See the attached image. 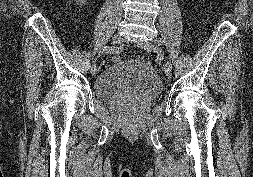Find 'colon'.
I'll return each mask as SVG.
<instances>
[{
  "instance_id": "1",
  "label": "colon",
  "mask_w": 253,
  "mask_h": 177,
  "mask_svg": "<svg viewBox=\"0 0 253 177\" xmlns=\"http://www.w3.org/2000/svg\"><path fill=\"white\" fill-rule=\"evenodd\" d=\"M112 61L114 63H116V62L120 61V57L118 55H115V56L112 57Z\"/></svg>"
}]
</instances>
